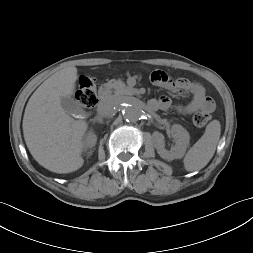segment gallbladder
Instances as JSON below:
<instances>
[{
  "label": "gallbladder",
  "mask_w": 253,
  "mask_h": 253,
  "mask_svg": "<svg viewBox=\"0 0 253 253\" xmlns=\"http://www.w3.org/2000/svg\"><path fill=\"white\" fill-rule=\"evenodd\" d=\"M61 106L63 110L71 115H76L79 113L78 103L70 96H65L60 98Z\"/></svg>",
  "instance_id": "gallbladder-1"
}]
</instances>
